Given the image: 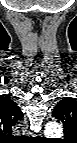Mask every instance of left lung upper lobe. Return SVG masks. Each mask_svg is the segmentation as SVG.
Wrapping results in <instances>:
<instances>
[{
  "label": "left lung upper lobe",
  "instance_id": "obj_1",
  "mask_svg": "<svg viewBox=\"0 0 77 143\" xmlns=\"http://www.w3.org/2000/svg\"><path fill=\"white\" fill-rule=\"evenodd\" d=\"M53 117L62 121L64 135L69 138L77 132V101L73 98L62 99L53 109Z\"/></svg>",
  "mask_w": 77,
  "mask_h": 143
}]
</instances>
